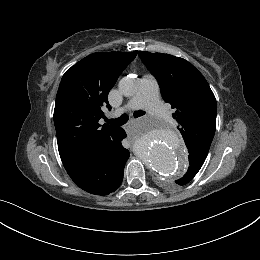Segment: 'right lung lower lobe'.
Segmentation results:
<instances>
[{"mask_svg": "<svg viewBox=\"0 0 260 260\" xmlns=\"http://www.w3.org/2000/svg\"><path fill=\"white\" fill-rule=\"evenodd\" d=\"M125 137L126 133L121 128L114 140L66 169L74 183L95 195L114 192L122 182L124 166L130 155L121 143Z\"/></svg>", "mask_w": 260, "mask_h": 260, "instance_id": "98d812e1", "label": "right lung lower lobe"}]
</instances>
